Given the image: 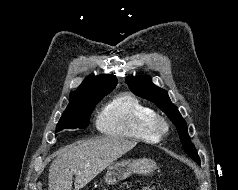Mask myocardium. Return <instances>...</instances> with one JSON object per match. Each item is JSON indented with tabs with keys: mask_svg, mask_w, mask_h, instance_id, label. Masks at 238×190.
Returning <instances> with one entry per match:
<instances>
[{
	"mask_svg": "<svg viewBox=\"0 0 238 190\" xmlns=\"http://www.w3.org/2000/svg\"><path fill=\"white\" fill-rule=\"evenodd\" d=\"M151 125L157 135H163L169 129V123L167 119L157 114L153 116Z\"/></svg>",
	"mask_w": 238,
	"mask_h": 190,
	"instance_id": "myocardium-1",
	"label": "myocardium"
}]
</instances>
